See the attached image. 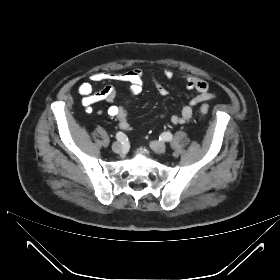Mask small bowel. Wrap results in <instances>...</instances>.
Here are the masks:
<instances>
[{
	"label": "small bowel",
	"mask_w": 280,
	"mask_h": 280,
	"mask_svg": "<svg viewBox=\"0 0 280 280\" xmlns=\"http://www.w3.org/2000/svg\"><path fill=\"white\" fill-rule=\"evenodd\" d=\"M163 76L166 79H172L174 71L170 68L163 69ZM144 72L141 68H134L124 72H96L90 75V81H85L79 84L78 93L82 96L81 104L87 109L92 110L95 103L106 101L112 102L116 97V88L113 85H106L99 91H94L92 82L113 81L129 84V92L131 96H137L141 93L144 85ZM185 87L188 90H194L197 95L181 108L180 114H175L171 117V122L174 124L188 123L192 116L194 108L198 105L214 98V94L209 90L208 83L196 76L185 75ZM152 80L159 94L166 96L169 90L161 83L156 75L152 76ZM108 114L118 120L119 127L123 131H131V126L127 118V111L123 106L111 105L108 108Z\"/></svg>",
	"instance_id": "1"
}]
</instances>
